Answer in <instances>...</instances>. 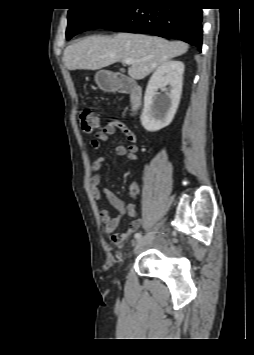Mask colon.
<instances>
[{"instance_id": "colon-1", "label": "colon", "mask_w": 254, "mask_h": 355, "mask_svg": "<svg viewBox=\"0 0 254 355\" xmlns=\"http://www.w3.org/2000/svg\"><path fill=\"white\" fill-rule=\"evenodd\" d=\"M79 121L84 132H92L100 126V115L94 108L86 107L80 112Z\"/></svg>"}]
</instances>
